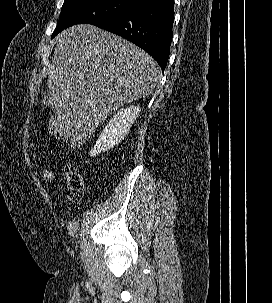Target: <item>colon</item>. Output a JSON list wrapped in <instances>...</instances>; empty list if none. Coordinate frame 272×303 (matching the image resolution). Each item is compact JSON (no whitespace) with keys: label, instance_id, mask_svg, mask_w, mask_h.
<instances>
[{"label":"colon","instance_id":"5ec220e1","mask_svg":"<svg viewBox=\"0 0 272 303\" xmlns=\"http://www.w3.org/2000/svg\"><path fill=\"white\" fill-rule=\"evenodd\" d=\"M49 135L58 138L60 135L59 130V120L55 117L51 118L48 125ZM39 177L45 181H53L55 178L54 170L47 165H41L38 167ZM65 174H66V195L69 201L72 203H79L84 194V183L83 179L78 172L77 168L71 164H65Z\"/></svg>","mask_w":272,"mask_h":303}]
</instances>
